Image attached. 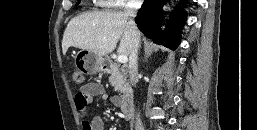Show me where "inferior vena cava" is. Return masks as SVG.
Segmentation results:
<instances>
[{
  "label": "inferior vena cava",
  "mask_w": 257,
  "mask_h": 130,
  "mask_svg": "<svg viewBox=\"0 0 257 130\" xmlns=\"http://www.w3.org/2000/svg\"><path fill=\"white\" fill-rule=\"evenodd\" d=\"M136 3V2H135ZM137 13L135 5L128 7L124 12V17L128 20V28L132 37V49L129 55V75L132 86L136 87L138 83V49L140 46V32L135 24L134 18ZM135 130H143L140 113H136Z\"/></svg>",
  "instance_id": "602c4592"
}]
</instances>
